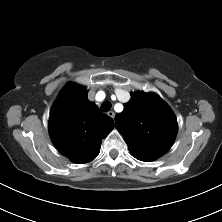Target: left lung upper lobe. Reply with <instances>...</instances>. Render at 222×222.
Returning <instances> with one entry per match:
<instances>
[{
	"mask_svg": "<svg viewBox=\"0 0 222 222\" xmlns=\"http://www.w3.org/2000/svg\"><path fill=\"white\" fill-rule=\"evenodd\" d=\"M116 128L133 157L153 161L173 145L177 120L169 106L156 94L134 92L124 110L115 117Z\"/></svg>",
	"mask_w": 222,
	"mask_h": 222,
	"instance_id": "left-lung-upper-lobe-1",
	"label": "left lung upper lobe"
}]
</instances>
